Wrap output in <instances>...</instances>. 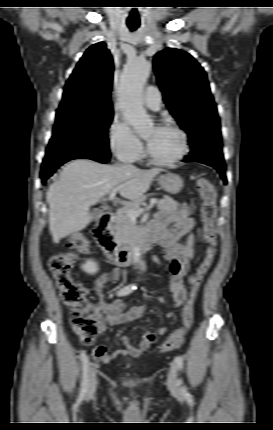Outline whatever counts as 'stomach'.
<instances>
[{
    "label": "stomach",
    "instance_id": "0dacf381",
    "mask_svg": "<svg viewBox=\"0 0 273 430\" xmlns=\"http://www.w3.org/2000/svg\"><path fill=\"white\" fill-rule=\"evenodd\" d=\"M157 182L162 189L170 194H177L183 187L182 178L174 173H166L157 178Z\"/></svg>",
    "mask_w": 273,
    "mask_h": 430
}]
</instances>
